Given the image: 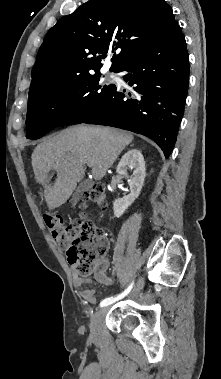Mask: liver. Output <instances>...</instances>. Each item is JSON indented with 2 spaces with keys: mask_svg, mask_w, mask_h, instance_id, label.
<instances>
[{
  "mask_svg": "<svg viewBox=\"0 0 221 379\" xmlns=\"http://www.w3.org/2000/svg\"><path fill=\"white\" fill-rule=\"evenodd\" d=\"M132 140V134L115 128L77 126L38 144L32 153V167L35 178L45 188L48 209L69 199L84 178L85 164H91L93 178L101 180ZM51 170L57 172L53 184H49Z\"/></svg>",
  "mask_w": 221,
  "mask_h": 379,
  "instance_id": "liver-1",
  "label": "liver"
}]
</instances>
